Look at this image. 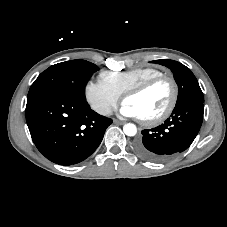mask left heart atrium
Returning <instances> with one entry per match:
<instances>
[{
	"label": "left heart atrium",
	"instance_id": "left-heart-atrium-1",
	"mask_svg": "<svg viewBox=\"0 0 227 227\" xmlns=\"http://www.w3.org/2000/svg\"><path fill=\"white\" fill-rule=\"evenodd\" d=\"M120 113L124 117L140 118V116H139L138 112L135 110V108L125 102H123V104L120 108Z\"/></svg>",
	"mask_w": 227,
	"mask_h": 227
}]
</instances>
